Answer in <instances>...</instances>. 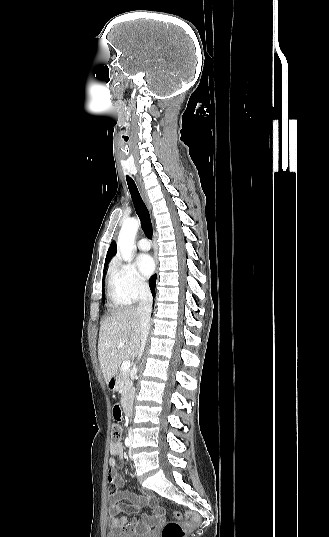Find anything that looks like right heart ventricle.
Here are the masks:
<instances>
[{
	"instance_id": "right-heart-ventricle-1",
	"label": "right heart ventricle",
	"mask_w": 329,
	"mask_h": 537,
	"mask_svg": "<svg viewBox=\"0 0 329 537\" xmlns=\"http://www.w3.org/2000/svg\"><path fill=\"white\" fill-rule=\"evenodd\" d=\"M108 297H109L110 304L113 307H121L129 303L117 293V291L114 288L111 277H109L108 279Z\"/></svg>"
}]
</instances>
